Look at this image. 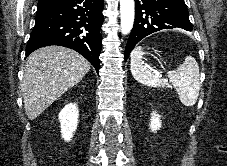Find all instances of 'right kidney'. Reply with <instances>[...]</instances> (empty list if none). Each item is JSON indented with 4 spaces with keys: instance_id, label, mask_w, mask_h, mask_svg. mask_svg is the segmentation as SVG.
Masks as SVG:
<instances>
[{
    "instance_id": "1",
    "label": "right kidney",
    "mask_w": 227,
    "mask_h": 166,
    "mask_svg": "<svg viewBox=\"0 0 227 166\" xmlns=\"http://www.w3.org/2000/svg\"><path fill=\"white\" fill-rule=\"evenodd\" d=\"M61 134L65 141H70L77 129L79 111L76 104H67L59 113Z\"/></svg>"
}]
</instances>
